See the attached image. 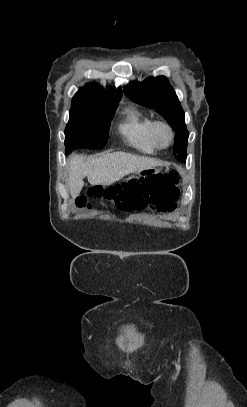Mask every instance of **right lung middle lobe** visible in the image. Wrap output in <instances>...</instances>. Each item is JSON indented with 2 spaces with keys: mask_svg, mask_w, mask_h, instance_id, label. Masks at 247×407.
I'll return each instance as SVG.
<instances>
[{
  "mask_svg": "<svg viewBox=\"0 0 247 407\" xmlns=\"http://www.w3.org/2000/svg\"><path fill=\"white\" fill-rule=\"evenodd\" d=\"M118 101L106 104L71 106L65 129V151L78 148L103 149Z\"/></svg>",
  "mask_w": 247,
  "mask_h": 407,
  "instance_id": "right-lung-middle-lobe-1",
  "label": "right lung middle lobe"
}]
</instances>
